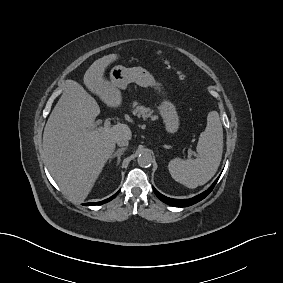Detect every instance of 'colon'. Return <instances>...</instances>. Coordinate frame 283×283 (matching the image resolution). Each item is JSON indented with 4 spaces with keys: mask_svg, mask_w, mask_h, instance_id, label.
Wrapping results in <instances>:
<instances>
[{
    "mask_svg": "<svg viewBox=\"0 0 283 283\" xmlns=\"http://www.w3.org/2000/svg\"><path fill=\"white\" fill-rule=\"evenodd\" d=\"M165 63L168 65V67H170V63L168 61H165ZM178 75L181 80H186V76L181 71H178Z\"/></svg>",
    "mask_w": 283,
    "mask_h": 283,
    "instance_id": "5ec220e1",
    "label": "colon"
}]
</instances>
